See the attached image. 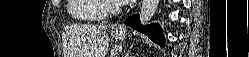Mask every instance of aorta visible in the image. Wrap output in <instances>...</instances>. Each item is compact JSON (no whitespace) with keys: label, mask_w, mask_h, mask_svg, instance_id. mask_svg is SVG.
<instances>
[{"label":"aorta","mask_w":249,"mask_h":57,"mask_svg":"<svg viewBox=\"0 0 249 57\" xmlns=\"http://www.w3.org/2000/svg\"><path fill=\"white\" fill-rule=\"evenodd\" d=\"M159 0H143L140 11V22L147 25L156 13Z\"/></svg>","instance_id":"obj_1"}]
</instances>
